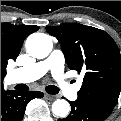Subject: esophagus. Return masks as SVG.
<instances>
[{"label": "esophagus", "instance_id": "esophagus-1", "mask_svg": "<svg viewBox=\"0 0 121 121\" xmlns=\"http://www.w3.org/2000/svg\"><path fill=\"white\" fill-rule=\"evenodd\" d=\"M45 98L48 99V100H55L56 99V96L55 95H50V94H45Z\"/></svg>", "mask_w": 121, "mask_h": 121}]
</instances>
